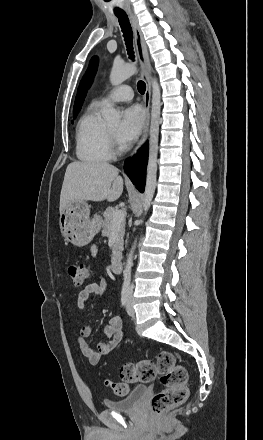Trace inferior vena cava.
Listing matches in <instances>:
<instances>
[{
  "label": "inferior vena cava",
  "mask_w": 263,
  "mask_h": 440,
  "mask_svg": "<svg viewBox=\"0 0 263 440\" xmlns=\"http://www.w3.org/2000/svg\"><path fill=\"white\" fill-rule=\"evenodd\" d=\"M129 295H131L132 294V287H129Z\"/></svg>",
  "instance_id": "1"
}]
</instances>
